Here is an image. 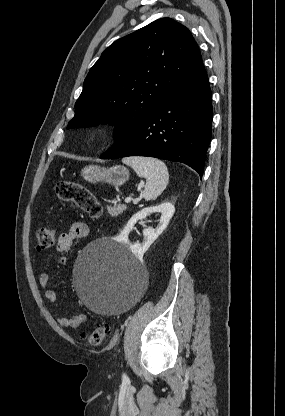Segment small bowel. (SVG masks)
Returning <instances> with one entry per match:
<instances>
[{
    "mask_svg": "<svg viewBox=\"0 0 285 416\" xmlns=\"http://www.w3.org/2000/svg\"><path fill=\"white\" fill-rule=\"evenodd\" d=\"M89 225L84 221L74 222L67 232L62 233L56 244V252L59 255L61 263L65 262L64 255L72 248L73 243L76 240L84 239L89 235ZM50 276L44 272L40 274L39 283L42 288L45 289V298L49 303H56L57 293L49 288ZM87 317L84 313L76 311L72 316H59L57 322L60 326L66 328H77L81 324L85 323Z\"/></svg>",
    "mask_w": 285,
    "mask_h": 416,
    "instance_id": "small-bowel-1",
    "label": "small bowel"
}]
</instances>
